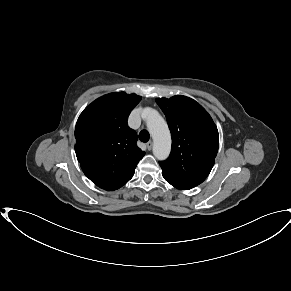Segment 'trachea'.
<instances>
[{
	"label": "trachea",
	"mask_w": 291,
	"mask_h": 291,
	"mask_svg": "<svg viewBox=\"0 0 291 291\" xmlns=\"http://www.w3.org/2000/svg\"><path fill=\"white\" fill-rule=\"evenodd\" d=\"M150 138V134L147 130H142L140 131L139 133V139L142 141V142H147Z\"/></svg>",
	"instance_id": "trachea-1"
}]
</instances>
